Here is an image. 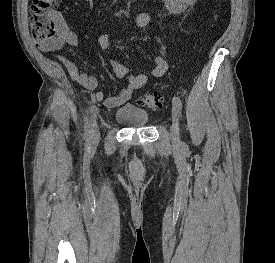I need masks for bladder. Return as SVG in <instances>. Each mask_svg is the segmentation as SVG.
<instances>
[{
	"label": "bladder",
	"instance_id": "obj_1",
	"mask_svg": "<svg viewBox=\"0 0 275 263\" xmlns=\"http://www.w3.org/2000/svg\"><path fill=\"white\" fill-rule=\"evenodd\" d=\"M116 122L127 127H143L147 124L148 113L133 104H123L117 108L114 114Z\"/></svg>",
	"mask_w": 275,
	"mask_h": 263
}]
</instances>
